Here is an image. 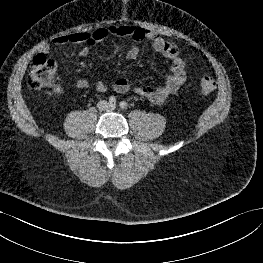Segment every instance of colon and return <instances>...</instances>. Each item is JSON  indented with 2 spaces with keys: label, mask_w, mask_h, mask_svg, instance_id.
Returning <instances> with one entry per match:
<instances>
[{
  "label": "colon",
  "mask_w": 263,
  "mask_h": 263,
  "mask_svg": "<svg viewBox=\"0 0 263 263\" xmlns=\"http://www.w3.org/2000/svg\"><path fill=\"white\" fill-rule=\"evenodd\" d=\"M56 63L53 59L44 54H38L31 62L28 74V85L33 90H41L50 84L56 76ZM199 92L204 95L211 94L216 89V82L209 76L200 79L198 85Z\"/></svg>",
  "instance_id": "1"
}]
</instances>
